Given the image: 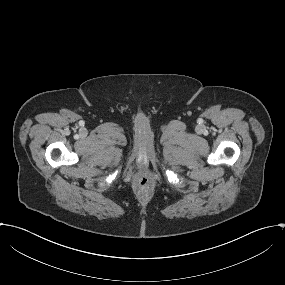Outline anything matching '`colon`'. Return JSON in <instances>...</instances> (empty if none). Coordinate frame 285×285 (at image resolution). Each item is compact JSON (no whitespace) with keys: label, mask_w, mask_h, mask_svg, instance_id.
<instances>
[{"label":"colon","mask_w":285,"mask_h":285,"mask_svg":"<svg viewBox=\"0 0 285 285\" xmlns=\"http://www.w3.org/2000/svg\"><path fill=\"white\" fill-rule=\"evenodd\" d=\"M137 186L141 190H149L152 186L151 178L147 174H141L136 180Z\"/></svg>","instance_id":"obj_1"}]
</instances>
